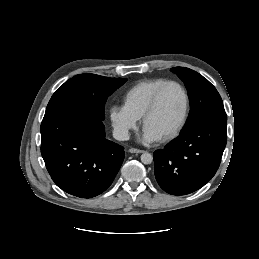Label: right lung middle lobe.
Wrapping results in <instances>:
<instances>
[{
	"label": "right lung middle lobe",
	"instance_id": "dd1d6c3e",
	"mask_svg": "<svg viewBox=\"0 0 259 259\" xmlns=\"http://www.w3.org/2000/svg\"><path fill=\"white\" fill-rule=\"evenodd\" d=\"M126 80L90 73L76 75L66 81L52 95L43 119H49L67 111H78L104 120L105 103L108 96L122 86Z\"/></svg>",
	"mask_w": 259,
	"mask_h": 259
}]
</instances>
